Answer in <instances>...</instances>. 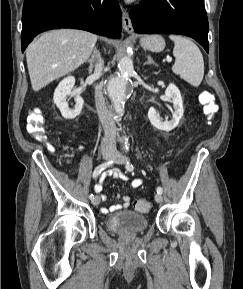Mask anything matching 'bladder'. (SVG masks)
<instances>
[{
	"instance_id": "bladder-1",
	"label": "bladder",
	"mask_w": 243,
	"mask_h": 289,
	"mask_svg": "<svg viewBox=\"0 0 243 289\" xmlns=\"http://www.w3.org/2000/svg\"><path fill=\"white\" fill-rule=\"evenodd\" d=\"M105 225L112 232L130 234L146 230L148 218L132 210H121L110 214Z\"/></svg>"
}]
</instances>
